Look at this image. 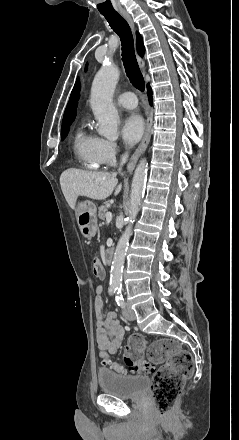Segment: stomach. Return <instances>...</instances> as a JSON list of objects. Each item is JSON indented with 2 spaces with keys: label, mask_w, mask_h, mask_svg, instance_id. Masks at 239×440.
I'll list each match as a JSON object with an SVG mask.
<instances>
[{
  "label": "stomach",
  "mask_w": 239,
  "mask_h": 440,
  "mask_svg": "<svg viewBox=\"0 0 239 440\" xmlns=\"http://www.w3.org/2000/svg\"><path fill=\"white\" fill-rule=\"evenodd\" d=\"M97 208L90 200H83L78 202L75 208L77 224L79 230L87 240H91L96 236L97 232Z\"/></svg>",
  "instance_id": "obj_1"
}]
</instances>
